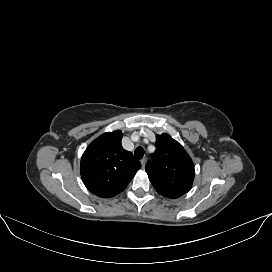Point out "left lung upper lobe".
Segmentation results:
<instances>
[{
  "label": "left lung upper lobe",
  "instance_id": "5c2ea615",
  "mask_svg": "<svg viewBox=\"0 0 272 272\" xmlns=\"http://www.w3.org/2000/svg\"><path fill=\"white\" fill-rule=\"evenodd\" d=\"M145 170L156 191L168 198L187 193L195 175L194 164L187 152L166 133L156 135V150Z\"/></svg>",
  "mask_w": 272,
  "mask_h": 272
}]
</instances>
